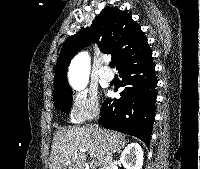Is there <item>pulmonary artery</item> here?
<instances>
[{"label":"pulmonary artery","instance_id":"e3ab8cb5","mask_svg":"<svg viewBox=\"0 0 200 169\" xmlns=\"http://www.w3.org/2000/svg\"><path fill=\"white\" fill-rule=\"evenodd\" d=\"M100 77L104 82H111L114 78V74L111 72V70L108 67H105L101 71Z\"/></svg>","mask_w":200,"mask_h":169}]
</instances>
